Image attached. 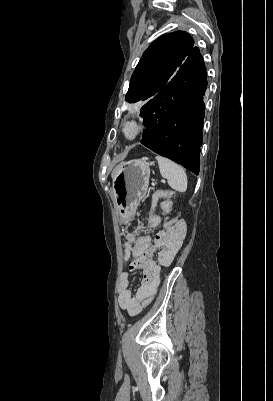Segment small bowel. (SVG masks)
Here are the masks:
<instances>
[{"instance_id":"c3829d8e","label":"small bowel","mask_w":273,"mask_h":401,"mask_svg":"<svg viewBox=\"0 0 273 401\" xmlns=\"http://www.w3.org/2000/svg\"><path fill=\"white\" fill-rule=\"evenodd\" d=\"M146 221L156 229L159 217L148 215ZM141 231L142 228L138 226L125 235L124 257L130 261V265L122 273L117 288L118 304L130 316L139 314L153 300L160 280V267L170 265L182 245V241H159L158 234L152 240L149 235H142ZM159 249L161 250L156 262L154 254ZM142 271H151L154 283L139 284L132 291V283Z\"/></svg>"}]
</instances>
